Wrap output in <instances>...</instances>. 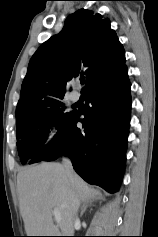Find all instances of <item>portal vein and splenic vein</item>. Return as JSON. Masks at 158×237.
<instances>
[{
	"label": "portal vein and splenic vein",
	"mask_w": 158,
	"mask_h": 237,
	"mask_svg": "<svg viewBox=\"0 0 158 237\" xmlns=\"http://www.w3.org/2000/svg\"><path fill=\"white\" fill-rule=\"evenodd\" d=\"M53 215H54L55 220H56L57 222H59L60 219H61L60 212H59L57 209H54V210H53Z\"/></svg>",
	"instance_id": "18ae733b"
}]
</instances>
